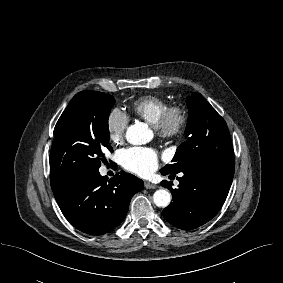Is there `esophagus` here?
<instances>
[{
    "label": "esophagus",
    "instance_id": "34e87169",
    "mask_svg": "<svg viewBox=\"0 0 283 283\" xmlns=\"http://www.w3.org/2000/svg\"><path fill=\"white\" fill-rule=\"evenodd\" d=\"M144 186L146 189H155L157 186L149 181L144 182Z\"/></svg>",
    "mask_w": 283,
    "mask_h": 283
}]
</instances>
